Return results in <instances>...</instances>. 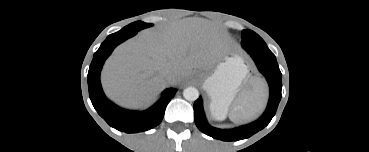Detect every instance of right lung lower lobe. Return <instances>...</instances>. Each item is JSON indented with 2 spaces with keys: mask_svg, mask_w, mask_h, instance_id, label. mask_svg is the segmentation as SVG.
Segmentation results:
<instances>
[{
  "mask_svg": "<svg viewBox=\"0 0 369 152\" xmlns=\"http://www.w3.org/2000/svg\"><path fill=\"white\" fill-rule=\"evenodd\" d=\"M138 31H119L109 35L95 52L88 72V88L91 102L98 114L113 128L126 133L147 131L156 127L163 119L167 104L176 89H166L161 99L143 112L122 109L109 101L100 83V71L113 49Z\"/></svg>",
  "mask_w": 369,
  "mask_h": 152,
  "instance_id": "1",
  "label": "right lung lower lobe"
}]
</instances>
